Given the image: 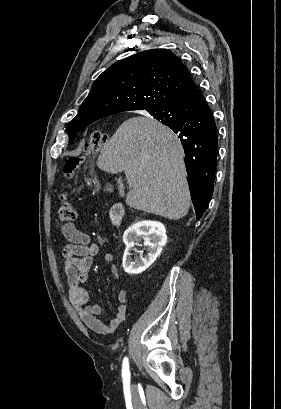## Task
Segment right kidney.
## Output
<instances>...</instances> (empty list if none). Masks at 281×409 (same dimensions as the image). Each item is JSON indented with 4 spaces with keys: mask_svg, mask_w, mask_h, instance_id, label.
Returning a JSON list of instances; mask_svg holds the SVG:
<instances>
[{
    "mask_svg": "<svg viewBox=\"0 0 281 409\" xmlns=\"http://www.w3.org/2000/svg\"><path fill=\"white\" fill-rule=\"evenodd\" d=\"M143 241V245L148 247L147 255L144 257H132L133 247ZM123 243L126 249L123 255L122 267L128 275H139L146 271L157 257H159L162 247L167 243L166 229L158 221H138L128 227L123 233Z\"/></svg>",
    "mask_w": 281,
    "mask_h": 409,
    "instance_id": "1",
    "label": "right kidney"
}]
</instances>
